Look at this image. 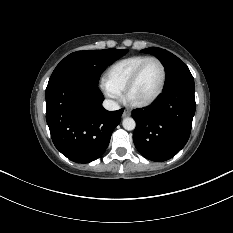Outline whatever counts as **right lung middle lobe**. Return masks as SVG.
I'll use <instances>...</instances> for the list:
<instances>
[{
	"label": "right lung middle lobe",
	"mask_w": 233,
	"mask_h": 233,
	"mask_svg": "<svg viewBox=\"0 0 233 233\" xmlns=\"http://www.w3.org/2000/svg\"><path fill=\"white\" fill-rule=\"evenodd\" d=\"M126 49L77 51L66 56L54 69L49 82L72 79L98 85L105 68L126 54Z\"/></svg>",
	"instance_id": "right-lung-middle-lobe-1"
}]
</instances>
